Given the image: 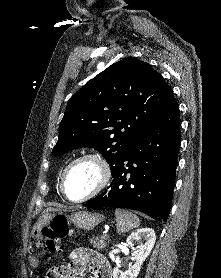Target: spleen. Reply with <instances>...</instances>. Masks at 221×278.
I'll list each match as a JSON object with an SVG mask.
<instances>
[{
	"label": "spleen",
	"mask_w": 221,
	"mask_h": 278,
	"mask_svg": "<svg viewBox=\"0 0 221 278\" xmlns=\"http://www.w3.org/2000/svg\"><path fill=\"white\" fill-rule=\"evenodd\" d=\"M115 217L117 221V231L119 233L128 232L134 228L139 227L140 219L130 211L116 209Z\"/></svg>",
	"instance_id": "3e777b00"
}]
</instances>
